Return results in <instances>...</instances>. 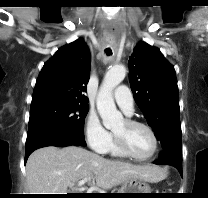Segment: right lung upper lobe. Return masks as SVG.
<instances>
[{
  "mask_svg": "<svg viewBox=\"0 0 208 198\" xmlns=\"http://www.w3.org/2000/svg\"><path fill=\"white\" fill-rule=\"evenodd\" d=\"M90 53L86 43L78 39L67 44L47 61L37 79L31 107L51 102L70 101L87 104Z\"/></svg>",
  "mask_w": 208,
  "mask_h": 198,
  "instance_id": "cb5924a9",
  "label": "right lung upper lobe"
}]
</instances>
